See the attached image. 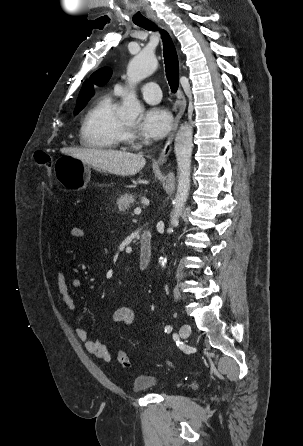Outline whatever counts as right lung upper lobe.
<instances>
[{
  "label": "right lung upper lobe",
  "instance_id": "right-lung-upper-lobe-1",
  "mask_svg": "<svg viewBox=\"0 0 303 446\" xmlns=\"http://www.w3.org/2000/svg\"><path fill=\"white\" fill-rule=\"evenodd\" d=\"M111 70L102 68L94 72L89 80L83 83L82 89L77 99V106L85 105L89 99L94 95V86H101L108 82L111 77Z\"/></svg>",
  "mask_w": 303,
  "mask_h": 446
}]
</instances>
